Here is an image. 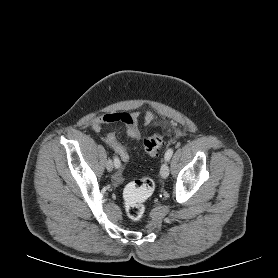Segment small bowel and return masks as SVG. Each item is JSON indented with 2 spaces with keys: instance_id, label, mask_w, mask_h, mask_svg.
<instances>
[{
  "instance_id": "1",
  "label": "small bowel",
  "mask_w": 278,
  "mask_h": 278,
  "mask_svg": "<svg viewBox=\"0 0 278 278\" xmlns=\"http://www.w3.org/2000/svg\"><path fill=\"white\" fill-rule=\"evenodd\" d=\"M140 113L137 111L128 113V112H112L107 113L102 116H98L91 122V128L95 132H99L105 125L113 123H121L125 126L127 131V136L135 141L139 142L141 140V130L139 125ZM154 120V114L151 111H147L144 114L143 122L144 125H149ZM104 142L111 147L119 158L123 162H128L130 160V154L128 150L121 144L113 133H108L104 136ZM118 158V157H117ZM118 158V159H119ZM121 177L119 174L116 175L115 181L119 182Z\"/></svg>"
}]
</instances>
